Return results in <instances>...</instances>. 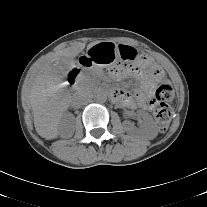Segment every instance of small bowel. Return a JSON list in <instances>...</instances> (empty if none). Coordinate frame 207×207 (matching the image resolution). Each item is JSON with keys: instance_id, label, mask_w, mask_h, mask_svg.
I'll use <instances>...</instances> for the list:
<instances>
[{"instance_id": "c3829d8e", "label": "small bowel", "mask_w": 207, "mask_h": 207, "mask_svg": "<svg viewBox=\"0 0 207 207\" xmlns=\"http://www.w3.org/2000/svg\"><path fill=\"white\" fill-rule=\"evenodd\" d=\"M150 66L152 63L150 61H146ZM132 74L136 77L139 82L140 88L136 93L135 99H133L128 93L123 91H115L116 100L120 102L122 105L135 108L136 106L150 110L154 106L153 100V91L158 81L164 78V73H161L157 76L152 75L150 72H146L145 70L135 67L131 69H113L111 71V75L114 79L120 80L125 76Z\"/></svg>"}]
</instances>
